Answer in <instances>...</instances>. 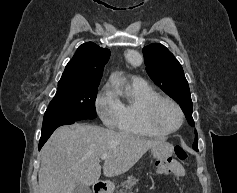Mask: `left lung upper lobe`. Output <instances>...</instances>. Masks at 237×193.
<instances>
[{
	"label": "left lung upper lobe",
	"mask_w": 237,
	"mask_h": 193,
	"mask_svg": "<svg viewBox=\"0 0 237 193\" xmlns=\"http://www.w3.org/2000/svg\"><path fill=\"white\" fill-rule=\"evenodd\" d=\"M143 54L150 78L180 105L189 125L194 127L189 85L180 63L164 45L159 43L144 47ZM193 146H198L197 136Z\"/></svg>",
	"instance_id": "obj_1"
}]
</instances>
